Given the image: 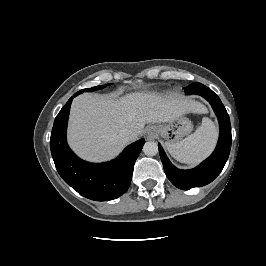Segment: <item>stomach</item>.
I'll use <instances>...</instances> for the list:
<instances>
[{"instance_id":"1","label":"stomach","mask_w":266,"mask_h":266,"mask_svg":"<svg viewBox=\"0 0 266 266\" xmlns=\"http://www.w3.org/2000/svg\"><path fill=\"white\" fill-rule=\"evenodd\" d=\"M156 128L159 136L169 142L176 143L192 131L193 125L188 118L180 115L165 124H159Z\"/></svg>"}]
</instances>
